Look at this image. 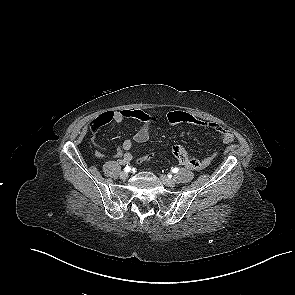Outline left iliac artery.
Wrapping results in <instances>:
<instances>
[{
	"instance_id": "obj_1",
	"label": "left iliac artery",
	"mask_w": 295,
	"mask_h": 295,
	"mask_svg": "<svg viewBox=\"0 0 295 295\" xmlns=\"http://www.w3.org/2000/svg\"><path fill=\"white\" fill-rule=\"evenodd\" d=\"M178 171H179V169L176 168V167H175L174 169H172V172H173V173H177Z\"/></svg>"
}]
</instances>
